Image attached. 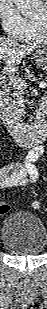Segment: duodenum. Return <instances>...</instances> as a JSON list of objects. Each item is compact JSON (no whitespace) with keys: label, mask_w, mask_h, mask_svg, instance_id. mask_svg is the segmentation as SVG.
<instances>
[{"label":"duodenum","mask_w":47,"mask_h":309,"mask_svg":"<svg viewBox=\"0 0 47 309\" xmlns=\"http://www.w3.org/2000/svg\"><path fill=\"white\" fill-rule=\"evenodd\" d=\"M1 117L10 134L21 145L32 147L39 145L43 141L45 137V121L43 113L37 114L32 126L25 125L15 118L12 103L5 101Z\"/></svg>","instance_id":"410a0bca"}]
</instances>
